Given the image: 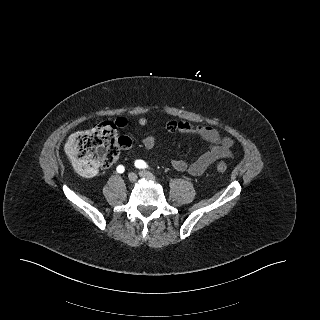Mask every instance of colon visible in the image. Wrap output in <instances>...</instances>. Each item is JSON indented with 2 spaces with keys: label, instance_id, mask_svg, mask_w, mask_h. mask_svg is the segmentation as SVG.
I'll list each match as a JSON object with an SVG mask.
<instances>
[{
  "label": "colon",
  "instance_id": "5ec220e1",
  "mask_svg": "<svg viewBox=\"0 0 320 320\" xmlns=\"http://www.w3.org/2000/svg\"><path fill=\"white\" fill-rule=\"evenodd\" d=\"M131 146L127 136H117L116 126L112 122L97 123L90 129L72 134L65 149L74 168L84 176H94L99 169L110 167L116 160L121 148ZM219 173L227 171V165H216Z\"/></svg>",
  "mask_w": 320,
  "mask_h": 320
}]
</instances>
